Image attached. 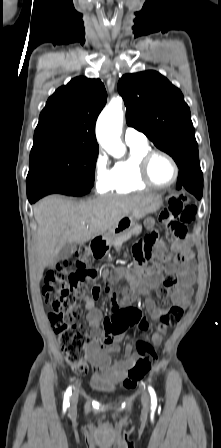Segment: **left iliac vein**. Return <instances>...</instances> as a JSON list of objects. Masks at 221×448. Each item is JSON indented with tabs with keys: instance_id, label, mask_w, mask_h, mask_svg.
<instances>
[{
	"instance_id": "left-iliac-vein-1",
	"label": "left iliac vein",
	"mask_w": 221,
	"mask_h": 448,
	"mask_svg": "<svg viewBox=\"0 0 221 448\" xmlns=\"http://www.w3.org/2000/svg\"><path fill=\"white\" fill-rule=\"evenodd\" d=\"M141 402H142V405H143V409L145 411H148V409H149V396H148L146 391L142 392Z\"/></svg>"
}]
</instances>
